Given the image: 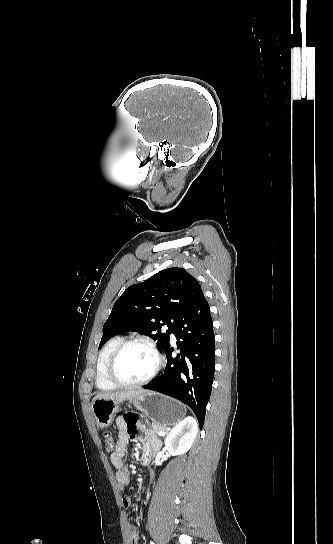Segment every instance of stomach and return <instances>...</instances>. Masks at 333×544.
I'll return each instance as SVG.
<instances>
[{
    "label": "stomach",
    "mask_w": 333,
    "mask_h": 544,
    "mask_svg": "<svg viewBox=\"0 0 333 544\" xmlns=\"http://www.w3.org/2000/svg\"><path fill=\"white\" fill-rule=\"evenodd\" d=\"M129 400L153 423L163 427L175 425L186 414V408L180 402L156 392H146ZM121 402L118 399H96L93 401L92 412L99 427L108 428L110 426Z\"/></svg>",
    "instance_id": "stomach-1"
}]
</instances>
